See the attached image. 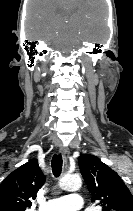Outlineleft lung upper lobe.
Returning a JSON list of instances; mask_svg holds the SVG:
<instances>
[{
    "instance_id": "obj_1",
    "label": "left lung upper lobe",
    "mask_w": 133,
    "mask_h": 211,
    "mask_svg": "<svg viewBox=\"0 0 133 211\" xmlns=\"http://www.w3.org/2000/svg\"><path fill=\"white\" fill-rule=\"evenodd\" d=\"M80 172L102 211H133V195L109 166L91 154L79 156Z\"/></svg>"
}]
</instances>
